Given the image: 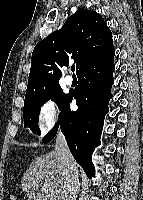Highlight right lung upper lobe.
Returning <instances> with one entry per match:
<instances>
[{
  "instance_id": "obj_1",
  "label": "right lung upper lobe",
  "mask_w": 143,
  "mask_h": 200,
  "mask_svg": "<svg viewBox=\"0 0 143 200\" xmlns=\"http://www.w3.org/2000/svg\"><path fill=\"white\" fill-rule=\"evenodd\" d=\"M112 45V33L102 16L78 9L60 30L34 48L26 95L59 83L62 67L67 66L70 59L76 63L78 74L84 65L107 52Z\"/></svg>"
}]
</instances>
